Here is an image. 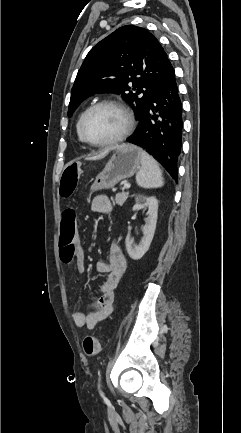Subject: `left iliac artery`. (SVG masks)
Instances as JSON below:
<instances>
[{"mask_svg":"<svg viewBox=\"0 0 241 433\" xmlns=\"http://www.w3.org/2000/svg\"><path fill=\"white\" fill-rule=\"evenodd\" d=\"M98 389H99V393H100V395H101L102 397H104V394H103V392H102L101 389H100V378H99V383H98Z\"/></svg>","mask_w":241,"mask_h":433,"instance_id":"left-iliac-artery-1","label":"left iliac artery"}]
</instances>
